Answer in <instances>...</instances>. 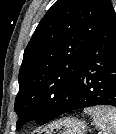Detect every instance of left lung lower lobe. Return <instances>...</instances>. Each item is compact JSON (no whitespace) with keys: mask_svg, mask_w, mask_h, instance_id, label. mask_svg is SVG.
<instances>
[{"mask_svg":"<svg viewBox=\"0 0 116 134\" xmlns=\"http://www.w3.org/2000/svg\"><path fill=\"white\" fill-rule=\"evenodd\" d=\"M97 105L116 107V15H108L92 42L71 97L63 102L51 120L68 112Z\"/></svg>","mask_w":116,"mask_h":134,"instance_id":"obj_1","label":"left lung lower lobe"}]
</instances>
